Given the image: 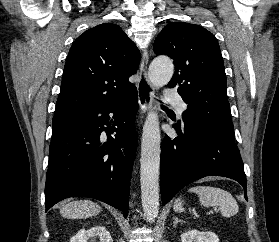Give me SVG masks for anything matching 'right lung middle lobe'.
<instances>
[{"mask_svg": "<svg viewBox=\"0 0 279 242\" xmlns=\"http://www.w3.org/2000/svg\"><path fill=\"white\" fill-rule=\"evenodd\" d=\"M58 121L56 119H53V125H55Z\"/></svg>", "mask_w": 279, "mask_h": 242, "instance_id": "1", "label": "right lung middle lobe"}]
</instances>
